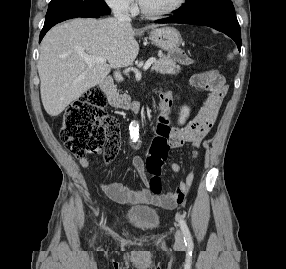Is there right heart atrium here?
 <instances>
[{"label":"right heart atrium","mask_w":286,"mask_h":269,"mask_svg":"<svg viewBox=\"0 0 286 269\" xmlns=\"http://www.w3.org/2000/svg\"><path fill=\"white\" fill-rule=\"evenodd\" d=\"M105 3L115 12L122 15H132L136 11L135 0H104Z\"/></svg>","instance_id":"d8ad5b80"}]
</instances>
